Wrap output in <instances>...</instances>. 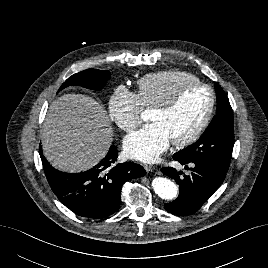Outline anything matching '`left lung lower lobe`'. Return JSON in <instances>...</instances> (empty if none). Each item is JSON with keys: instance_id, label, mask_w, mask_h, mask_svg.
<instances>
[{"instance_id": "1", "label": "left lung lower lobe", "mask_w": 268, "mask_h": 268, "mask_svg": "<svg viewBox=\"0 0 268 268\" xmlns=\"http://www.w3.org/2000/svg\"><path fill=\"white\" fill-rule=\"evenodd\" d=\"M179 161L186 169L190 170L189 175L180 177L176 169L164 167L161 172L171 177L180 186V195L173 202L164 204V208L173 214L187 216L197 212L204 202L219 188L226 177L227 171L221 167L207 162Z\"/></svg>"}]
</instances>
